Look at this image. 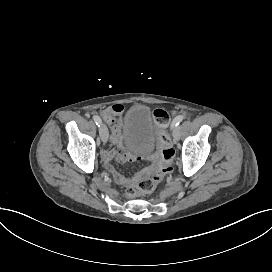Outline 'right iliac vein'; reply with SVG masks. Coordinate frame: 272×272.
<instances>
[{
	"mask_svg": "<svg viewBox=\"0 0 272 272\" xmlns=\"http://www.w3.org/2000/svg\"><path fill=\"white\" fill-rule=\"evenodd\" d=\"M99 134H100V138H101L102 142L104 144L107 143V141H108V129H107V126L104 123H102L99 126Z\"/></svg>",
	"mask_w": 272,
	"mask_h": 272,
	"instance_id": "63e3f726",
	"label": "right iliac vein"
}]
</instances>
